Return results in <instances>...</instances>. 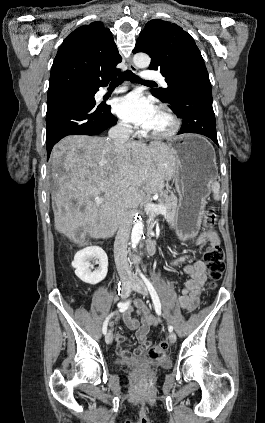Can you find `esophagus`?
<instances>
[{
    "mask_svg": "<svg viewBox=\"0 0 265 423\" xmlns=\"http://www.w3.org/2000/svg\"><path fill=\"white\" fill-rule=\"evenodd\" d=\"M128 66H129V69H130L132 72H137V71H138L137 67L133 64V62H132V60H131V59H129V60H128Z\"/></svg>",
    "mask_w": 265,
    "mask_h": 423,
    "instance_id": "34e87169",
    "label": "esophagus"
}]
</instances>
